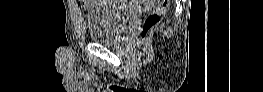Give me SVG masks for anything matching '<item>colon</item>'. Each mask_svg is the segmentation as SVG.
Segmentation results:
<instances>
[{"label": "colon", "instance_id": "colon-1", "mask_svg": "<svg viewBox=\"0 0 263 92\" xmlns=\"http://www.w3.org/2000/svg\"><path fill=\"white\" fill-rule=\"evenodd\" d=\"M154 3L157 4V6L144 18L142 24V40H145L150 31L161 21L169 6V0H158L154 1Z\"/></svg>", "mask_w": 263, "mask_h": 92}]
</instances>
